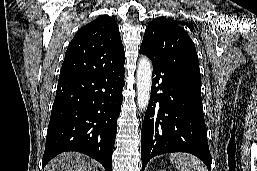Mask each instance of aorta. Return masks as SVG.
<instances>
[{
    "label": "aorta",
    "instance_id": "aorta-1",
    "mask_svg": "<svg viewBox=\"0 0 257 171\" xmlns=\"http://www.w3.org/2000/svg\"><path fill=\"white\" fill-rule=\"evenodd\" d=\"M137 104L141 111L148 107L151 84H152V64L147 57H142L137 68Z\"/></svg>",
    "mask_w": 257,
    "mask_h": 171
}]
</instances>
